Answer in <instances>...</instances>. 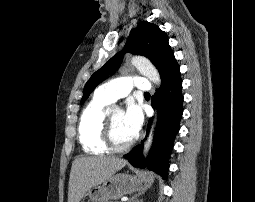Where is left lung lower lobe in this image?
<instances>
[{
	"label": "left lung lower lobe",
	"instance_id": "left-lung-lower-lobe-1",
	"mask_svg": "<svg viewBox=\"0 0 255 202\" xmlns=\"http://www.w3.org/2000/svg\"><path fill=\"white\" fill-rule=\"evenodd\" d=\"M182 80L180 73L166 83L152 97V107H158V121L155 129L154 141L151 151L143 160V145L135 146L125 158L135 167L141 165L167 178L169 157L174 145V139L180 127V119L183 114ZM151 123V120H150ZM149 123V124H150Z\"/></svg>",
	"mask_w": 255,
	"mask_h": 202
}]
</instances>
